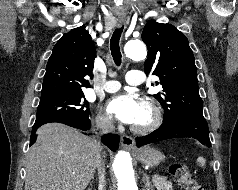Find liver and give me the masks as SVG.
<instances>
[{
    "mask_svg": "<svg viewBox=\"0 0 238 190\" xmlns=\"http://www.w3.org/2000/svg\"><path fill=\"white\" fill-rule=\"evenodd\" d=\"M26 160L25 190H85L97 168L101 146L61 123L37 132Z\"/></svg>",
    "mask_w": 238,
    "mask_h": 190,
    "instance_id": "1",
    "label": "liver"
}]
</instances>
